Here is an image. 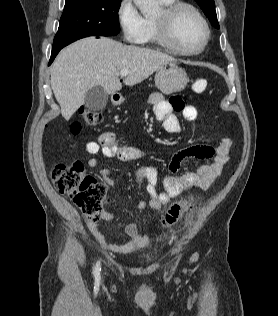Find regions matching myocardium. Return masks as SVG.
I'll use <instances>...</instances> for the list:
<instances>
[{
	"label": "myocardium",
	"instance_id": "myocardium-1",
	"mask_svg": "<svg viewBox=\"0 0 278 316\" xmlns=\"http://www.w3.org/2000/svg\"><path fill=\"white\" fill-rule=\"evenodd\" d=\"M190 10L192 11L201 21L205 29V39L201 47L195 50H188L184 48L178 41L176 33H175V21L178 14L182 10ZM156 26L160 37L171 46L176 52L187 55L194 56L202 53L207 45L209 44L211 38V28L210 25L202 13V11L193 5L192 3L185 1H177L175 0L172 4L163 8L162 12L158 17L155 18Z\"/></svg>",
	"mask_w": 278,
	"mask_h": 316
}]
</instances>
